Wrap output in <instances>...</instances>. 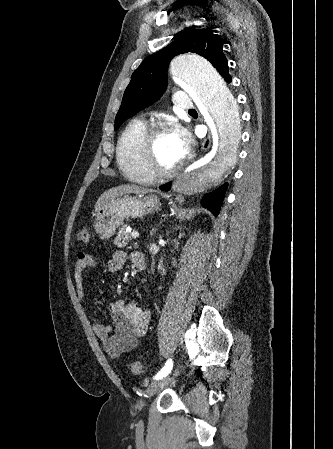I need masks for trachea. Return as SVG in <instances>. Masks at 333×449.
Wrapping results in <instances>:
<instances>
[{"mask_svg":"<svg viewBox=\"0 0 333 449\" xmlns=\"http://www.w3.org/2000/svg\"><path fill=\"white\" fill-rule=\"evenodd\" d=\"M189 112H196V110L195 109H191V110H189Z\"/></svg>","mask_w":333,"mask_h":449,"instance_id":"3493384b","label":"trachea"}]
</instances>
